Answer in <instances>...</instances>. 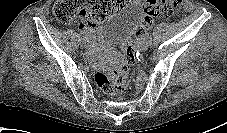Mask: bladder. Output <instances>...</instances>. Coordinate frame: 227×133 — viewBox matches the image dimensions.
I'll return each mask as SVG.
<instances>
[{
	"instance_id": "bladder-1",
	"label": "bladder",
	"mask_w": 227,
	"mask_h": 133,
	"mask_svg": "<svg viewBox=\"0 0 227 133\" xmlns=\"http://www.w3.org/2000/svg\"><path fill=\"white\" fill-rule=\"evenodd\" d=\"M140 16L139 5L127 6L103 28L100 35L102 44L107 47L121 45L132 34Z\"/></svg>"
}]
</instances>
